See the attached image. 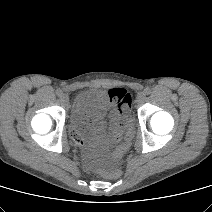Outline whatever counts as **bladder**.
<instances>
[{
    "instance_id": "1",
    "label": "bladder",
    "mask_w": 212,
    "mask_h": 212,
    "mask_svg": "<svg viewBox=\"0 0 212 212\" xmlns=\"http://www.w3.org/2000/svg\"><path fill=\"white\" fill-rule=\"evenodd\" d=\"M97 90H85L78 94L75 106L71 112L70 122L73 127L79 130L85 141H92V136L86 129L88 123L89 111L95 104Z\"/></svg>"
}]
</instances>
